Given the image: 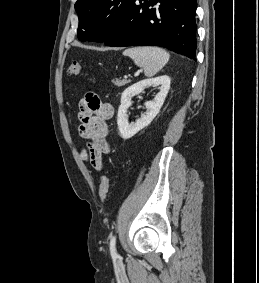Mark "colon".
I'll list each match as a JSON object with an SVG mask.
<instances>
[{
  "label": "colon",
  "instance_id": "5ec220e1",
  "mask_svg": "<svg viewBox=\"0 0 259 283\" xmlns=\"http://www.w3.org/2000/svg\"><path fill=\"white\" fill-rule=\"evenodd\" d=\"M82 71V64L78 61H73L70 63L68 68V73L70 76H77ZM110 196V179L107 175L101 178V183L99 186V197L102 202H106Z\"/></svg>",
  "mask_w": 259,
  "mask_h": 283
}]
</instances>
